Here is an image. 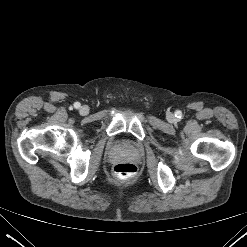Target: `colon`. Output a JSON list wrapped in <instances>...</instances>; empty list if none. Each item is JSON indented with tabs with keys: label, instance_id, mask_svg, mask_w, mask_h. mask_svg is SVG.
<instances>
[{
	"label": "colon",
	"instance_id": "obj_1",
	"mask_svg": "<svg viewBox=\"0 0 247 247\" xmlns=\"http://www.w3.org/2000/svg\"><path fill=\"white\" fill-rule=\"evenodd\" d=\"M136 172L137 167L129 162L119 163L114 167L115 175L122 180L132 178L136 174Z\"/></svg>",
	"mask_w": 247,
	"mask_h": 247
}]
</instances>
